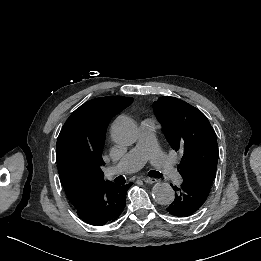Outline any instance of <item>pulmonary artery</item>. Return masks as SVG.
Segmentation results:
<instances>
[{
	"mask_svg": "<svg viewBox=\"0 0 261 261\" xmlns=\"http://www.w3.org/2000/svg\"><path fill=\"white\" fill-rule=\"evenodd\" d=\"M155 123L150 119L139 122L138 141L121 159V161L105 170L107 178L120 173H130L138 170L147 160H151L159 167V171L166 175V182L170 186H177L181 182V175L174 171V164L166 153H162L157 145Z\"/></svg>",
	"mask_w": 261,
	"mask_h": 261,
	"instance_id": "1",
	"label": "pulmonary artery"
}]
</instances>
